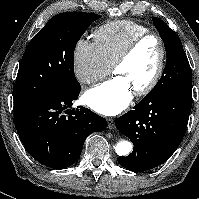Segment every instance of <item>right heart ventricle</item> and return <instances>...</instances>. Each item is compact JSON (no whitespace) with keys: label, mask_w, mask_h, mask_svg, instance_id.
Masks as SVG:
<instances>
[{"label":"right heart ventricle","mask_w":199,"mask_h":199,"mask_svg":"<svg viewBox=\"0 0 199 199\" xmlns=\"http://www.w3.org/2000/svg\"><path fill=\"white\" fill-rule=\"evenodd\" d=\"M149 29L138 22L119 20L105 23L93 33L95 43L103 58L111 67L126 46Z\"/></svg>","instance_id":"obj_1"}]
</instances>
